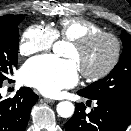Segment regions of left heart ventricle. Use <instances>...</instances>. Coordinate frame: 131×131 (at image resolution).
<instances>
[{"mask_svg":"<svg viewBox=\"0 0 131 131\" xmlns=\"http://www.w3.org/2000/svg\"><path fill=\"white\" fill-rule=\"evenodd\" d=\"M113 54V44L105 38L98 39L84 49L71 46L67 57L74 60L77 67L88 73L103 69Z\"/></svg>","mask_w":131,"mask_h":131,"instance_id":"obj_1","label":"left heart ventricle"}]
</instances>
